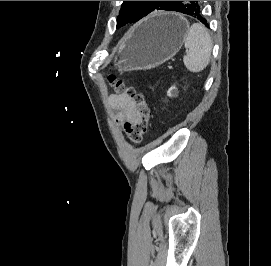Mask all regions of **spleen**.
I'll return each instance as SVG.
<instances>
[{
	"mask_svg": "<svg viewBox=\"0 0 271 266\" xmlns=\"http://www.w3.org/2000/svg\"><path fill=\"white\" fill-rule=\"evenodd\" d=\"M184 46L186 68L194 73L204 70L210 62L213 47L208 30L200 23L192 24L185 35Z\"/></svg>",
	"mask_w": 271,
	"mask_h": 266,
	"instance_id": "spleen-1",
	"label": "spleen"
}]
</instances>
